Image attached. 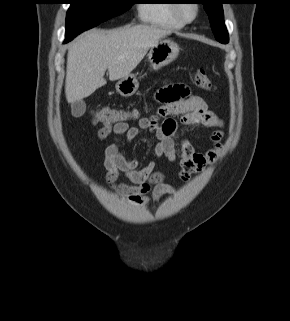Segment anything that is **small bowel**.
I'll return each mask as SVG.
<instances>
[{
	"label": "small bowel",
	"mask_w": 290,
	"mask_h": 321,
	"mask_svg": "<svg viewBox=\"0 0 290 321\" xmlns=\"http://www.w3.org/2000/svg\"><path fill=\"white\" fill-rule=\"evenodd\" d=\"M155 98L160 107L155 114L140 118L137 126L120 123L103 126L98 132L100 140L110 134L114 135L105 148L101 162L106 180L118 196L134 206H144L170 194L174 187L165 182L164 173L154 170L152 160L139 168L138 159L125 156L121 151L122 140L131 143L142 131L149 132L158 140L152 152L153 156L166 157L173 163L179 162V174L183 179H187L216 160L223 137V120L209 110L201 97L191 94L185 85L167 84L158 90ZM177 115L180 116L179 119L175 118ZM180 125L214 129L210 136L213 148L202 154L197 152L187 139L181 138L177 141L176 133ZM120 173L125 174L132 184L117 183Z\"/></svg>",
	"instance_id": "small-bowel-1"
}]
</instances>
